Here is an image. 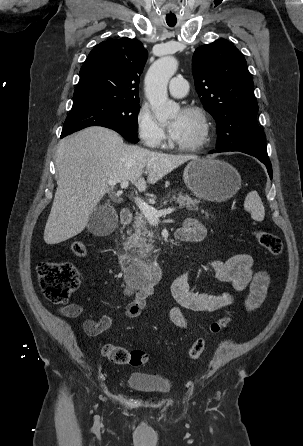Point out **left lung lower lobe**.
Here are the masks:
<instances>
[{"label": "left lung lower lobe", "instance_id": "obj_1", "mask_svg": "<svg viewBox=\"0 0 303 446\" xmlns=\"http://www.w3.org/2000/svg\"><path fill=\"white\" fill-rule=\"evenodd\" d=\"M229 151H238V150H229ZM217 152H228V151H217ZM240 152L255 156L257 159H259L263 164L266 165L268 174H269L270 178H272V166H271L268 156H260V155H257V154L251 153V152H245V151H240Z\"/></svg>", "mask_w": 303, "mask_h": 446}]
</instances>
